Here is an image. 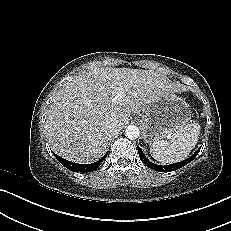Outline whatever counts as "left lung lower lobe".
Returning <instances> with one entry per match:
<instances>
[{"label":"left lung lower lobe","mask_w":231,"mask_h":231,"mask_svg":"<svg viewBox=\"0 0 231 231\" xmlns=\"http://www.w3.org/2000/svg\"><path fill=\"white\" fill-rule=\"evenodd\" d=\"M138 152H139V156H140V159L141 161L149 168L151 169H154V170H157V171H161V172H170V171H173V170H177L185 165H187L189 162H191L196 156L197 154L199 153L201 147L191 156L189 157L188 159L184 160V161H181V162H178V163H174V164H170V165H165V166H161V165H157V164H154L152 162H150L143 154L142 150L140 147H138Z\"/></svg>","instance_id":"0a47b994"}]
</instances>
